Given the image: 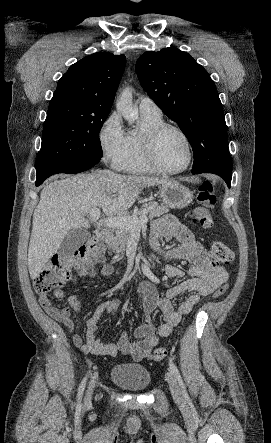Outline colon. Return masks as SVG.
<instances>
[{
  "label": "colon",
  "mask_w": 271,
  "mask_h": 443,
  "mask_svg": "<svg viewBox=\"0 0 271 443\" xmlns=\"http://www.w3.org/2000/svg\"><path fill=\"white\" fill-rule=\"evenodd\" d=\"M216 193L211 181L205 180L197 191V201L199 206L191 212L192 222L204 228L213 225L211 209L216 204ZM105 252L104 246L97 241H90L77 248L67 258L54 257L43 268L34 281V289L39 295L48 294L50 291L61 287L71 272L80 267L82 263H98ZM207 258L217 264H228L234 259V253L221 241H214L208 252ZM229 289L228 284L221 285L214 293V298H219L226 294ZM167 351L164 348H156L149 358L159 361L166 357Z\"/></svg>",
  "instance_id": "colon-1"
}]
</instances>
